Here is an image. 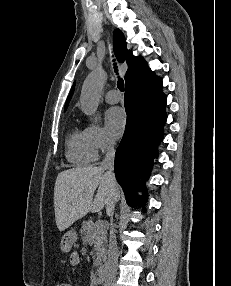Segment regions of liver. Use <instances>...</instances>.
I'll list each match as a JSON object with an SVG mask.
<instances>
[{"label":"liver","mask_w":231,"mask_h":286,"mask_svg":"<svg viewBox=\"0 0 231 286\" xmlns=\"http://www.w3.org/2000/svg\"><path fill=\"white\" fill-rule=\"evenodd\" d=\"M119 197L118 184H111L101 167H77L60 172L54 187L57 228L64 231L89 211L98 212L107 206L115 207Z\"/></svg>","instance_id":"liver-1"}]
</instances>
